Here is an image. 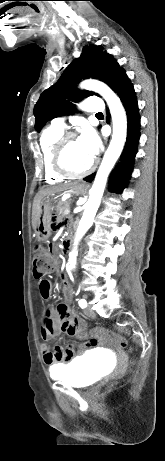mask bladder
I'll return each mask as SVG.
<instances>
[{
  "label": "bladder",
  "mask_w": 165,
  "mask_h": 461,
  "mask_svg": "<svg viewBox=\"0 0 165 461\" xmlns=\"http://www.w3.org/2000/svg\"><path fill=\"white\" fill-rule=\"evenodd\" d=\"M107 372L101 356L88 353L74 358L63 365L51 369L53 378L65 382L75 388H86L98 381Z\"/></svg>",
  "instance_id": "obj_1"
}]
</instances>
